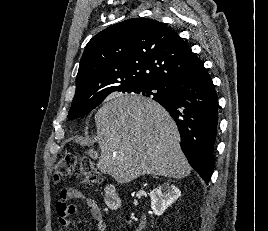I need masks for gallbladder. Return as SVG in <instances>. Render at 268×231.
<instances>
[{
  "mask_svg": "<svg viewBox=\"0 0 268 231\" xmlns=\"http://www.w3.org/2000/svg\"><path fill=\"white\" fill-rule=\"evenodd\" d=\"M90 154H93V152L92 151H88Z\"/></svg>",
  "mask_w": 268,
  "mask_h": 231,
  "instance_id": "1",
  "label": "gallbladder"
}]
</instances>
